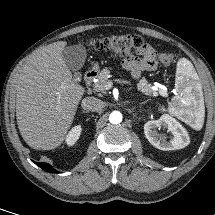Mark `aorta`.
<instances>
[{"label":"aorta","instance_id":"762f6f07","mask_svg":"<svg viewBox=\"0 0 215 215\" xmlns=\"http://www.w3.org/2000/svg\"><path fill=\"white\" fill-rule=\"evenodd\" d=\"M109 121L112 124H118L122 121V114L119 111H113L109 116Z\"/></svg>","mask_w":215,"mask_h":215}]
</instances>
